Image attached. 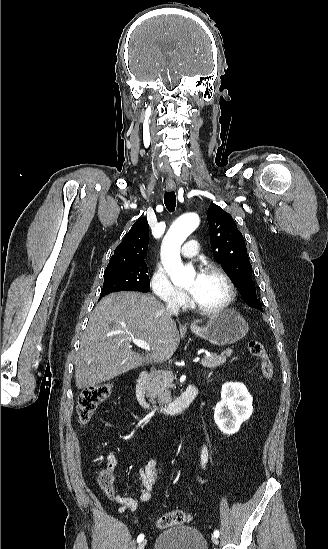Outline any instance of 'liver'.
Masks as SVG:
<instances>
[{"label":"liver","instance_id":"obj_1","mask_svg":"<svg viewBox=\"0 0 328 549\" xmlns=\"http://www.w3.org/2000/svg\"><path fill=\"white\" fill-rule=\"evenodd\" d=\"M131 339L146 341L152 353L131 351ZM180 343L174 319L152 295L112 293L95 307L81 337L76 387L88 389L143 363L168 361Z\"/></svg>","mask_w":328,"mask_h":549}]
</instances>
